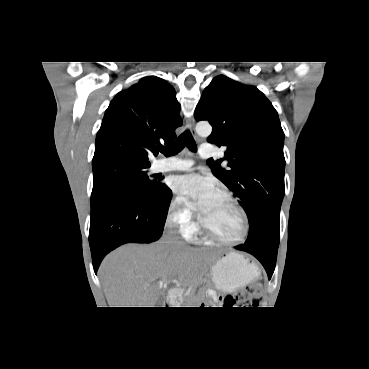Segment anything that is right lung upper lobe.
Masks as SVG:
<instances>
[{"instance_id":"cb5924a9","label":"right lung upper lobe","mask_w":369,"mask_h":369,"mask_svg":"<svg viewBox=\"0 0 369 369\" xmlns=\"http://www.w3.org/2000/svg\"><path fill=\"white\" fill-rule=\"evenodd\" d=\"M174 88L149 76L120 91L105 112L96 136L92 165L128 161L150 165L156 146L170 145L182 125Z\"/></svg>"}]
</instances>
